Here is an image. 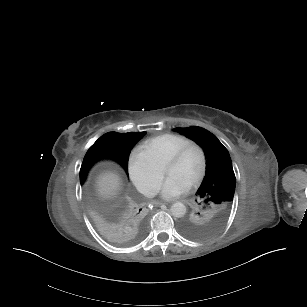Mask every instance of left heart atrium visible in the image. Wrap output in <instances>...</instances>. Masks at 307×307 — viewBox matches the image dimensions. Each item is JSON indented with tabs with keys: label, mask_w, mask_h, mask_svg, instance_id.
Here are the masks:
<instances>
[{
	"label": "left heart atrium",
	"mask_w": 307,
	"mask_h": 307,
	"mask_svg": "<svg viewBox=\"0 0 307 307\" xmlns=\"http://www.w3.org/2000/svg\"><path fill=\"white\" fill-rule=\"evenodd\" d=\"M189 190V184L175 175H168L157 181L151 192L165 199H175Z\"/></svg>",
	"instance_id": "left-heart-atrium-1"
}]
</instances>
